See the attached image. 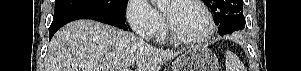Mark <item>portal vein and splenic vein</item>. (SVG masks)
I'll list each match as a JSON object with an SVG mask.
<instances>
[{"label": "portal vein and splenic vein", "instance_id": "portal-vein-and-splenic-vein-1", "mask_svg": "<svg viewBox=\"0 0 301 71\" xmlns=\"http://www.w3.org/2000/svg\"><path fill=\"white\" fill-rule=\"evenodd\" d=\"M118 71H128L127 68L119 69Z\"/></svg>", "mask_w": 301, "mask_h": 71}]
</instances>
